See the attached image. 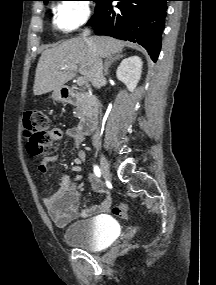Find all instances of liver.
Here are the masks:
<instances>
[{
  "label": "liver",
  "mask_w": 216,
  "mask_h": 285,
  "mask_svg": "<svg viewBox=\"0 0 216 285\" xmlns=\"http://www.w3.org/2000/svg\"><path fill=\"white\" fill-rule=\"evenodd\" d=\"M125 43L107 36H91L89 38H73L56 47L43 51L36 68L33 93L42 95L63 88L75 73L63 69L68 65H76L79 72L90 81V63L92 47L101 58L122 52Z\"/></svg>",
  "instance_id": "obj_1"
}]
</instances>
